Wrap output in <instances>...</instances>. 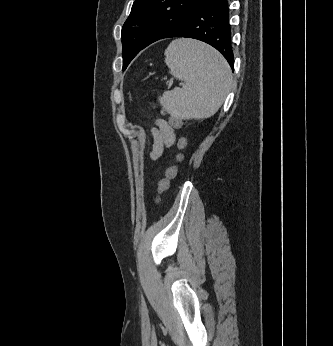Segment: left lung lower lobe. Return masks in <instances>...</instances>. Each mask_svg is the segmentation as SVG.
<instances>
[{
    "instance_id": "obj_1",
    "label": "left lung lower lobe",
    "mask_w": 333,
    "mask_h": 346,
    "mask_svg": "<svg viewBox=\"0 0 333 346\" xmlns=\"http://www.w3.org/2000/svg\"><path fill=\"white\" fill-rule=\"evenodd\" d=\"M170 37L194 38L210 44L226 58L233 70L234 56L227 0H204L161 39Z\"/></svg>"
}]
</instances>
